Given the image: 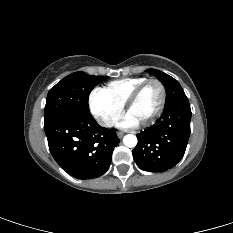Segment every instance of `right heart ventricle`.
Masks as SVG:
<instances>
[{
	"label": "right heart ventricle",
	"instance_id": "obj_1",
	"mask_svg": "<svg viewBox=\"0 0 233 233\" xmlns=\"http://www.w3.org/2000/svg\"><path fill=\"white\" fill-rule=\"evenodd\" d=\"M146 80H148L146 77L114 80L109 82L103 91L113 102L123 107L133 90Z\"/></svg>",
	"mask_w": 233,
	"mask_h": 233
}]
</instances>
